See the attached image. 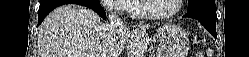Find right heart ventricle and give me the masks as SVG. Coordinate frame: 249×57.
<instances>
[{
  "instance_id": "right-heart-ventricle-1",
  "label": "right heart ventricle",
  "mask_w": 249,
  "mask_h": 57,
  "mask_svg": "<svg viewBox=\"0 0 249 57\" xmlns=\"http://www.w3.org/2000/svg\"><path fill=\"white\" fill-rule=\"evenodd\" d=\"M129 10L136 16V17H142L143 15L140 13L139 10V3L138 0L130 1L129 2Z\"/></svg>"
}]
</instances>
